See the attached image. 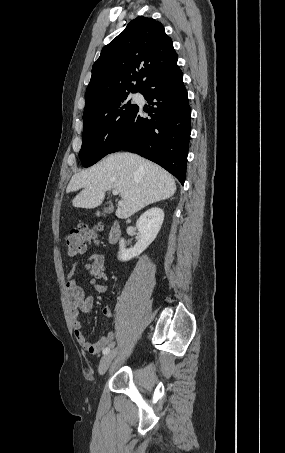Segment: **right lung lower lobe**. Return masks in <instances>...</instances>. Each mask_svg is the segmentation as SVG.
<instances>
[{
  "label": "right lung lower lobe",
  "mask_w": 285,
  "mask_h": 453,
  "mask_svg": "<svg viewBox=\"0 0 285 453\" xmlns=\"http://www.w3.org/2000/svg\"><path fill=\"white\" fill-rule=\"evenodd\" d=\"M182 78L176 64L147 82L141 93L153 105L150 118H143L139 108L110 153L123 149L137 153L165 168L183 185L191 111Z\"/></svg>",
  "instance_id": "right-lung-lower-lobe-1"
}]
</instances>
